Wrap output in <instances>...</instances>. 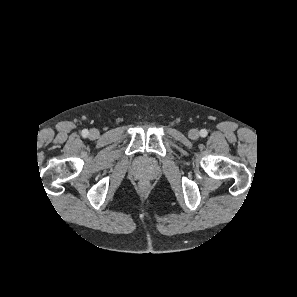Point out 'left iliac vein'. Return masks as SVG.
Wrapping results in <instances>:
<instances>
[{
  "mask_svg": "<svg viewBox=\"0 0 297 297\" xmlns=\"http://www.w3.org/2000/svg\"><path fill=\"white\" fill-rule=\"evenodd\" d=\"M188 136L192 140H197L199 138V132L196 129H191L188 133Z\"/></svg>",
  "mask_w": 297,
  "mask_h": 297,
  "instance_id": "1",
  "label": "left iliac vein"
}]
</instances>
